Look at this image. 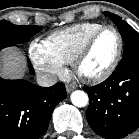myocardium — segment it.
Here are the masks:
<instances>
[{
  "label": "myocardium",
  "instance_id": "1",
  "mask_svg": "<svg viewBox=\"0 0 139 139\" xmlns=\"http://www.w3.org/2000/svg\"><path fill=\"white\" fill-rule=\"evenodd\" d=\"M107 30L113 31L115 33V35L117 37V41H118L117 50H116V53H115V56H114L112 62L103 72H101L97 75H86V74L82 73L80 70L81 63L83 62V60L85 59V57L87 56L89 51L91 50L96 39L103 32H105ZM123 45H124L123 37L117 28H115L114 26H111V25L102 26L101 28L96 30L94 33H92L88 37V39L84 42V44L81 46V48L75 55V57L72 61V66H73V69H74L76 75L81 80L88 82V83H100V82L105 81L114 73V71L118 67V65L121 61V58H122Z\"/></svg>",
  "mask_w": 139,
  "mask_h": 139
}]
</instances>
